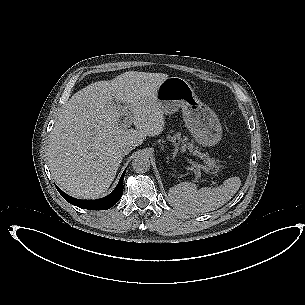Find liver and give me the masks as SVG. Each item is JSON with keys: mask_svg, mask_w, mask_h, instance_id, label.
<instances>
[{"mask_svg": "<svg viewBox=\"0 0 305 305\" xmlns=\"http://www.w3.org/2000/svg\"><path fill=\"white\" fill-rule=\"evenodd\" d=\"M168 78L160 74L152 88L120 78L98 81L76 92L63 107L48 140V163L62 190L97 199L110 187L125 154L123 143L139 146L164 128L156 90ZM128 116L135 129L121 123Z\"/></svg>", "mask_w": 305, "mask_h": 305, "instance_id": "liver-1", "label": "liver"}]
</instances>
